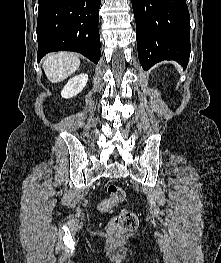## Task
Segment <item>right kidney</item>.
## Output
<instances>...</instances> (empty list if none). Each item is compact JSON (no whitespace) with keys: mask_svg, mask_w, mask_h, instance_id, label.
<instances>
[{"mask_svg":"<svg viewBox=\"0 0 221 263\" xmlns=\"http://www.w3.org/2000/svg\"><path fill=\"white\" fill-rule=\"evenodd\" d=\"M87 81L88 75L86 73L71 78L61 91V96L66 99L76 96L86 86Z\"/></svg>","mask_w":221,"mask_h":263,"instance_id":"right-kidney-1","label":"right kidney"}]
</instances>
